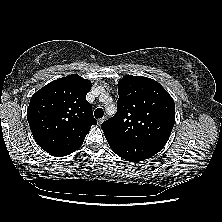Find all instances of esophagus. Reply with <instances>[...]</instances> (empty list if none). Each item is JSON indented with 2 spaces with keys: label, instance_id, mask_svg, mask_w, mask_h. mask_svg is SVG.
Returning <instances> with one entry per match:
<instances>
[{
  "label": "esophagus",
  "instance_id": "obj_1",
  "mask_svg": "<svg viewBox=\"0 0 222 222\" xmlns=\"http://www.w3.org/2000/svg\"><path fill=\"white\" fill-rule=\"evenodd\" d=\"M104 122V118L98 120V124L101 125Z\"/></svg>",
  "mask_w": 222,
  "mask_h": 222
}]
</instances>
